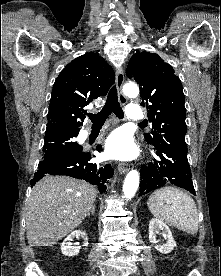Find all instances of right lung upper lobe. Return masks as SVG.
<instances>
[{"mask_svg":"<svg viewBox=\"0 0 221 276\" xmlns=\"http://www.w3.org/2000/svg\"><path fill=\"white\" fill-rule=\"evenodd\" d=\"M115 81L110 65L89 52L68 64L57 77L51 94L46 134L79 133L86 107L105 96Z\"/></svg>","mask_w":221,"mask_h":276,"instance_id":"1","label":"right lung upper lobe"}]
</instances>
